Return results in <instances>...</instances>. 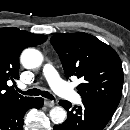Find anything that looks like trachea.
Listing matches in <instances>:
<instances>
[{"mask_svg":"<svg viewBox=\"0 0 130 130\" xmlns=\"http://www.w3.org/2000/svg\"><path fill=\"white\" fill-rule=\"evenodd\" d=\"M18 92H20L23 95H28V96H39L41 95L42 97L48 98V99H54V96L50 94L48 91H42L40 89H30L27 91H22L20 89H17Z\"/></svg>","mask_w":130,"mask_h":130,"instance_id":"1","label":"trachea"}]
</instances>
